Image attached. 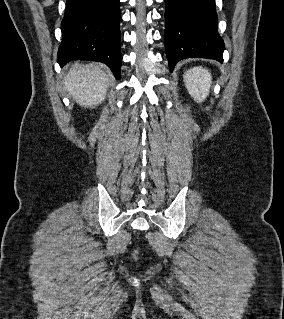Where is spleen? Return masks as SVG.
Here are the masks:
<instances>
[{
	"label": "spleen",
	"mask_w": 284,
	"mask_h": 319,
	"mask_svg": "<svg viewBox=\"0 0 284 319\" xmlns=\"http://www.w3.org/2000/svg\"><path fill=\"white\" fill-rule=\"evenodd\" d=\"M184 82L189 94L197 102H202L208 95L211 86V74L202 67H194L184 75Z\"/></svg>",
	"instance_id": "obj_1"
}]
</instances>
